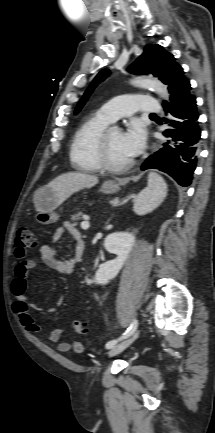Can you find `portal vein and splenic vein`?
Returning a JSON list of instances; mask_svg holds the SVG:
<instances>
[{"mask_svg": "<svg viewBox=\"0 0 215 433\" xmlns=\"http://www.w3.org/2000/svg\"><path fill=\"white\" fill-rule=\"evenodd\" d=\"M90 227V223L88 219L86 218L83 222H81V228L88 229Z\"/></svg>", "mask_w": 215, "mask_h": 433, "instance_id": "obj_1", "label": "portal vein and splenic vein"}]
</instances>
